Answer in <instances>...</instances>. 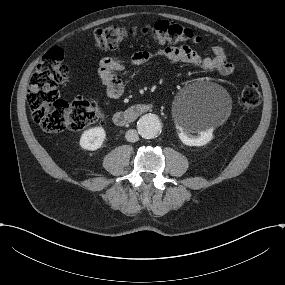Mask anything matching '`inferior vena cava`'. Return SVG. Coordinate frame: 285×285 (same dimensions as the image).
I'll return each mask as SVG.
<instances>
[{"instance_id": "602c4592", "label": "inferior vena cava", "mask_w": 285, "mask_h": 285, "mask_svg": "<svg viewBox=\"0 0 285 285\" xmlns=\"http://www.w3.org/2000/svg\"><path fill=\"white\" fill-rule=\"evenodd\" d=\"M126 139L129 142H136L139 139L138 132L135 129H129L126 132Z\"/></svg>"}]
</instances>
